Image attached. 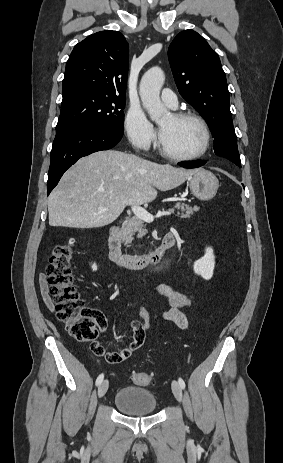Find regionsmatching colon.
Segmentation results:
<instances>
[{
    "label": "colon",
    "instance_id": "5ec220e1",
    "mask_svg": "<svg viewBox=\"0 0 283 463\" xmlns=\"http://www.w3.org/2000/svg\"><path fill=\"white\" fill-rule=\"evenodd\" d=\"M74 253V241L54 246L46 268L48 294L52 298L56 317L67 328L70 335L82 343H91L93 352L109 363L119 361L115 352H107L97 341L98 334L105 329L104 316L96 309L86 307L73 284L71 262ZM132 381L140 386L153 383L151 375L134 372Z\"/></svg>",
    "mask_w": 283,
    "mask_h": 463
}]
</instances>
